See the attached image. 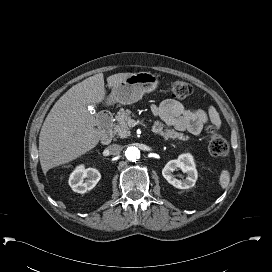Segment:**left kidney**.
I'll return each mask as SVG.
<instances>
[{"label":"left kidney","mask_w":272,"mask_h":272,"mask_svg":"<svg viewBox=\"0 0 272 272\" xmlns=\"http://www.w3.org/2000/svg\"><path fill=\"white\" fill-rule=\"evenodd\" d=\"M177 169L187 174L185 179L179 180L175 178L173 172ZM162 175L168 183L178 189H189L193 187L198 178L194 159L189 153L181 154L176 160H170L163 168Z\"/></svg>","instance_id":"5707ae66"}]
</instances>
